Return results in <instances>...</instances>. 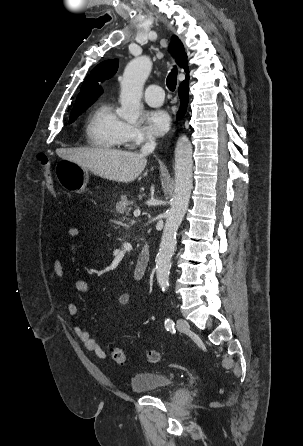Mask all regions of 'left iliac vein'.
<instances>
[{"instance_id":"1","label":"left iliac vein","mask_w":303,"mask_h":446,"mask_svg":"<svg viewBox=\"0 0 303 446\" xmlns=\"http://www.w3.org/2000/svg\"><path fill=\"white\" fill-rule=\"evenodd\" d=\"M190 326L188 321H186L185 319H178L177 320V329L181 332H185L187 330H189Z\"/></svg>"}]
</instances>
